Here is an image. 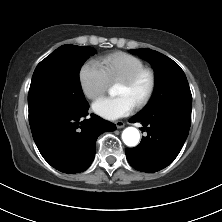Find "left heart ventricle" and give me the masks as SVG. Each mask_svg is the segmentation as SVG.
<instances>
[{
	"label": "left heart ventricle",
	"mask_w": 222,
	"mask_h": 222,
	"mask_svg": "<svg viewBox=\"0 0 222 222\" xmlns=\"http://www.w3.org/2000/svg\"><path fill=\"white\" fill-rule=\"evenodd\" d=\"M147 88L148 79L146 77H143L133 87L126 86L119 82L115 94L118 96L126 95L136 104L140 100V98L145 94Z\"/></svg>",
	"instance_id": "left-heart-ventricle-1"
}]
</instances>
